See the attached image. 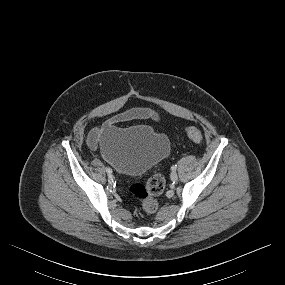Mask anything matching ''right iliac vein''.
<instances>
[{
    "label": "right iliac vein",
    "instance_id": "63e3f726",
    "mask_svg": "<svg viewBox=\"0 0 285 285\" xmlns=\"http://www.w3.org/2000/svg\"><path fill=\"white\" fill-rule=\"evenodd\" d=\"M108 181L112 183L114 181V176L112 174L108 175Z\"/></svg>",
    "mask_w": 285,
    "mask_h": 285
}]
</instances>
